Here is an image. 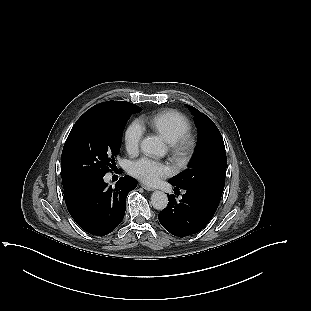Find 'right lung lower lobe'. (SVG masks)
<instances>
[{
	"label": "right lung lower lobe",
	"instance_id": "obj_1",
	"mask_svg": "<svg viewBox=\"0 0 311 311\" xmlns=\"http://www.w3.org/2000/svg\"><path fill=\"white\" fill-rule=\"evenodd\" d=\"M137 181L121 177L115 186H108L103 177L82 181L64 190L68 211L75 222L93 235H106L123 220L126 197Z\"/></svg>",
	"mask_w": 311,
	"mask_h": 311
}]
</instances>
